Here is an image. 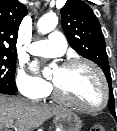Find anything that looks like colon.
Returning <instances> with one entry per match:
<instances>
[{"mask_svg":"<svg viewBox=\"0 0 117 131\" xmlns=\"http://www.w3.org/2000/svg\"><path fill=\"white\" fill-rule=\"evenodd\" d=\"M89 131H106L105 127L101 124H94Z\"/></svg>","mask_w":117,"mask_h":131,"instance_id":"1","label":"colon"}]
</instances>
